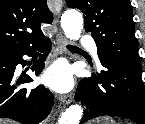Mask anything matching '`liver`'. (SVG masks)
<instances>
[{"label": "liver", "mask_w": 145, "mask_h": 124, "mask_svg": "<svg viewBox=\"0 0 145 124\" xmlns=\"http://www.w3.org/2000/svg\"><path fill=\"white\" fill-rule=\"evenodd\" d=\"M0 124H6V123H3V122L0 120Z\"/></svg>", "instance_id": "1"}]
</instances>
